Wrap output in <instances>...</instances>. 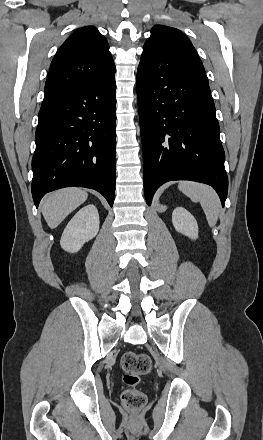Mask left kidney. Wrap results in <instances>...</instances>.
<instances>
[{"label":"left kidney","mask_w":263,"mask_h":440,"mask_svg":"<svg viewBox=\"0 0 263 440\" xmlns=\"http://www.w3.org/2000/svg\"><path fill=\"white\" fill-rule=\"evenodd\" d=\"M172 223L175 230L191 238H198V224L193 215L183 207H177L172 213Z\"/></svg>","instance_id":"left-kidney-1"}]
</instances>
